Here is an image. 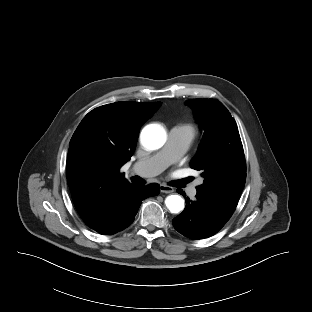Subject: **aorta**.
Segmentation results:
<instances>
[{
    "mask_svg": "<svg viewBox=\"0 0 312 312\" xmlns=\"http://www.w3.org/2000/svg\"><path fill=\"white\" fill-rule=\"evenodd\" d=\"M166 139L165 129L155 124L146 126L141 133V142L150 150L161 148L165 144ZM165 204L171 213H179L184 209V200L179 195L168 196Z\"/></svg>",
    "mask_w": 312,
    "mask_h": 312,
    "instance_id": "obj_1",
    "label": "aorta"
}]
</instances>
